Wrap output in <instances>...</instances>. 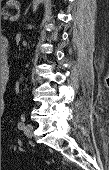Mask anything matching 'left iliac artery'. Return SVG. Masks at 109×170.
<instances>
[{
	"instance_id": "obj_1",
	"label": "left iliac artery",
	"mask_w": 109,
	"mask_h": 170,
	"mask_svg": "<svg viewBox=\"0 0 109 170\" xmlns=\"http://www.w3.org/2000/svg\"><path fill=\"white\" fill-rule=\"evenodd\" d=\"M24 127H25L24 122H19V123H18V128H19L20 130H22Z\"/></svg>"
}]
</instances>
